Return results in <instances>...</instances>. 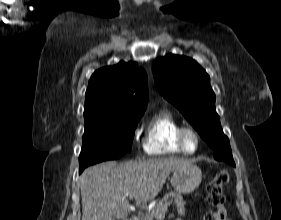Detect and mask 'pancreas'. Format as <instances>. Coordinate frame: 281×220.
<instances>
[{
  "instance_id": "cf45deb5",
  "label": "pancreas",
  "mask_w": 281,
  "mask_h": 220,
  "mask_svg": "<svg viewBox=\"0 0 281 220\" xmlns=\"http://www.w3.org/2000/svg\"><path fill=\"white\" fill-rule=\"evenodd\" d=\"M168 199L174 201V205L176 206L179 215L185 214L186 202L183 200L182 195L177 192H169L158 202L152 213L146 214L142 220H161L157 214L162 211L163 205L168 201Z\"/></svg>"
}]
</instances>
